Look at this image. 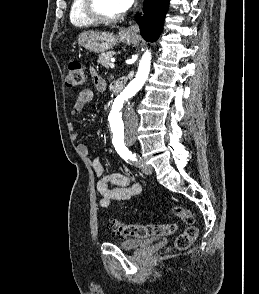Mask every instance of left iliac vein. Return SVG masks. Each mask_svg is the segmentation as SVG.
Wrapping results in <instances>:
<instances>
[{
	"mask_svg": "<svg viewBox=\"0 0 259 294\" xmlns=\"http://www.w3.org/2000/svg\"><path fill=\"white\" fill-rule=\"evenodd\" d=\"M138 165L141 169V171L146 175H151L153 170L150 166L146 165L145 161L143 159H139Z\"/></svg>",
	"mask_w": 259,
	"mask_h": 294,
	"instance_id": "obj_1",
	"label": "left iliac vein"
}]
</instances>
